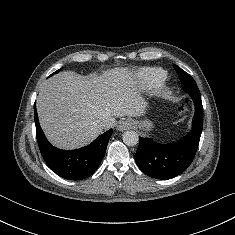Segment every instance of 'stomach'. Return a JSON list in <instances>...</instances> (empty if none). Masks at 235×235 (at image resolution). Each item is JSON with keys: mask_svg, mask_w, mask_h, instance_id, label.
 <instances>
[{"mask_svg": "<svg viewBox=\"0 0 235 235\" xmlns=\"http://www.w3.org/2000/svg\"><path fill=\"white\" fill-rule=\"evenodd\" d=\"M135 124L138 125L139 127H142L145 130H150L153 127V123L148 119L144 121H136Z\"/></svg>", "mask_w": 235, "mask_h": 235, "instance_id": "1", "label": "stomach"}]
</instances>
